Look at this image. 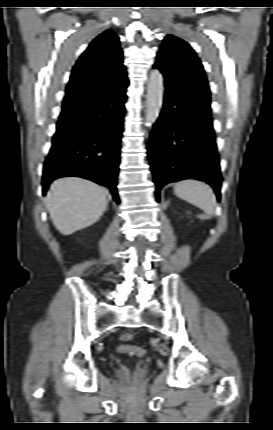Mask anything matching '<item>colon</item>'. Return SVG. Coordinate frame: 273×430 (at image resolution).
Returning <instances> with one entry per match:
<instances>
[{
	"label": "colon",
	"mask_w": 273,
	"mask_h": 430,
	"mask_svg": "<svg viewBox=\"0 0 273 430\" xmlns=\"http://www.w3.org/2000/svg\"><path fill=\"white\" fill-rule=\"evenodd\" d=\"M121 339L124 341H131L133 339V335L129 332H125L121 335ZM119 351L123 353H130L137 357H143L144 355L147 354V349L140 346H131L128 349H121L119 347Z\"/></svg>",
	"instance_id": "5ec220e1"
}]
</instances>
